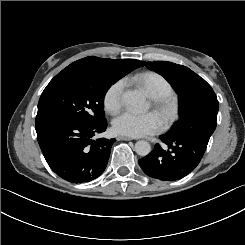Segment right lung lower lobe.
I'll return each mask as SVG.
<instances>
[{
    "mask_svg": "<svg viewBox=\"0 0 245 245\" xmlns=\"http://www.w3.org/2000/svg\"><path fill=\"white\" fill-rule=\"evenodd\" d=\"M106 120L98 123L50 120L36 123L37 139L50 168L71 183L89 182L105 170L115 139L100 138Z\"/></svg>",
    "mask_w": 245,
    "mask_h": 245,
    "instance_id": "obj_1",
    "label": "right lung lower lobe"
}]
</instances>
